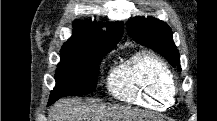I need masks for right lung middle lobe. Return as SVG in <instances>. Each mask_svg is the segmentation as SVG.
<instances>
[{
    "label": "right lung middle lobe",
    "instance_id": "dd1d6c3e",
    "mask_svg": "<svg viewBox=\"0 0 217 121\" xmlns=\"http://www.w3.org/2000/svg\"><path fill=\"white\" fill-rule=\"evenodd\" d=\"M108 52L95 44L62 47L49 104L62 96L87 95L95 90L100 60Z\"/></svg>",
    "mask_w": 217,
    "mask_h": 121
}]
</instances>
